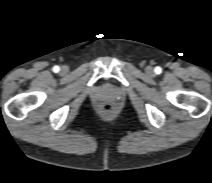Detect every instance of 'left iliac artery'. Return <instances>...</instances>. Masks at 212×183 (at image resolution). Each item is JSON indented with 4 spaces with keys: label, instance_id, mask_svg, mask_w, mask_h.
<instances>
[{
    "label": "left iliac artery",
    "instance_id": "left-iliac-artery-1",
    "mask_svg": "<svg viewBox=\"0 0 212 183\" xmlns=\"http://www.w3.org/2000/svg\"><path fill=\"white\" fill-rule=\"evenodd\" d=\"M155 72H156L157 74H160V73L162 72V69H161L160 67H156V68H155Z\"/></svg>",
    "mask_w": 212,
    "mask_h": 183
}]
</instances>
